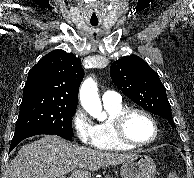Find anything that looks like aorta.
<instances>
[{
  "mask_svg": "<svg viewBox=\"0 0 194 178\" xmlns=\"http://www.w3.org/2000/svg\"><path fill=\"white\" fill-rule=\"evenodd\" d=\"M80 101L82 107L92 117L100 121L106 119V114L102 111L97 84L91 77L84 80L80 87Z\"/></svg>",
  "mask_w": 194,
  "mask_h": 178,
  "instance_id": "762f6f07",
  "label": "aorta"
}]
</instances>
